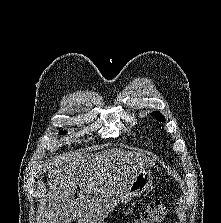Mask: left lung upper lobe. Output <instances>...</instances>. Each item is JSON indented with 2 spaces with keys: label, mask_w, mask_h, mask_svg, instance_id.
I'll list each match as a JSON object with an SVG mask.
<instances>
[{
  "label": "left lung upper lobe",
  "mask_w": 221,
  "mask_h": 223,
  "mask_svg": "<svg viewBox=\"0 0 221 223\" xmlns=\"http://www.w3.org/2000/svg\"><path fill=\"white\" fill-rule=\"evenodd\" d=\"M151 115L159 121H165V118L158 112H152Z\"/></svg>",
  "instance_id": "obj_1"
}]
</instances>
